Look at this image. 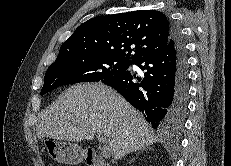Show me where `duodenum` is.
Masks as SVG:
<instances>
[{"instance_id": "410a0bca", "label": "duodenum", "mask_w": 231, "mask_h": 166, "mask_svg": "<svg viewBox=\"0 0 231 166\" xmlns=\"http://www.w3.org/2000/svg\"><path fill=\"white\" fill-rule=\"evenodd\" d=\"M86 166H107L102 156L91 150L87 151L84 156Z\"/></svg>"}]
</instances>
